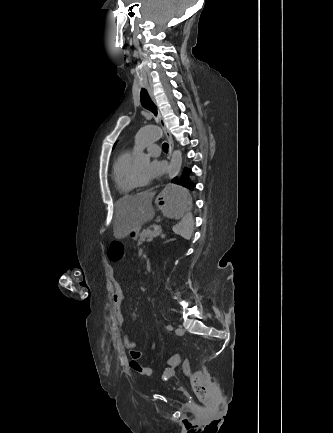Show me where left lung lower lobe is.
<instances>
[{"mask_svg":"<svg viewBox=\"0 0 333 433\" xmlns=\"http://www.w3.org/2000/svg\"><path fill=\"white\" fill-rule=\"evenodd\" d=\"M191 173V169L189 168H185L181 174V176L179 177V179L177 177H175L172 182L177 183L182 185L186 192L188 193V190H193L195 183L192 182L189 178V175Z\"/></svg>","mask_w":333,"mask_h":433,"instance_id":"0a47b994","label":"left lung lower lobe"}]
</instances>
